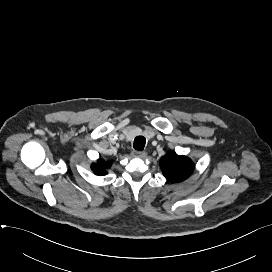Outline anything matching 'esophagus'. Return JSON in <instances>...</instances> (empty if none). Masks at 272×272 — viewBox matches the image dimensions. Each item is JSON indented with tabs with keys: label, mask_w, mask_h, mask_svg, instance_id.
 <instances>
[{
	"label": "esophagus",
	"mask_w": 272,
	"mask_h": 272,
	"mask_svg": "<svg viewBox=\"0 0 272 272\" xmlns=\"http://www.w3.org/2000/svg\"><path fill=\"white\" fill-rule=\"evenodd\" d=\"M133 155L135 157H138V158H146L147 157V153L146 152H142V151H134Z\"/></svg>",
	"instance_id": "esophagus-1"
}]
</instances>
